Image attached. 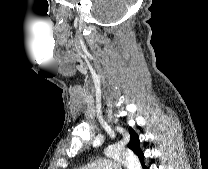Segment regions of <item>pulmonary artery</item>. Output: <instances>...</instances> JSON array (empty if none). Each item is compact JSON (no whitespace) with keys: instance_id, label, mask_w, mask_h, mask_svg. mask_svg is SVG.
I'll return each mask as SVG.
<instances>
[{"instance_id":"pulmonary-artery-1","label":"pulmonary artery","mask_w":208,"mask_h":169,"mask_svg":"<svg viewBox=\"0 0 208 169\" xmlns=\"http://www.w3.org/2000/svg\"><path fill=\"white\" fill-rule=\"evenodd\" d=\"M78 169H122L118 160L113 158H100L93 163L86 164Z\"/></svg>"}]
</instances>
